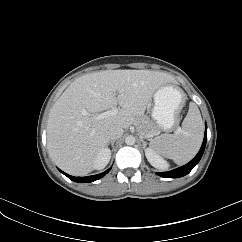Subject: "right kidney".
Segmentation results:
<instances>
[{
    "label": "right kidney",
    "mask_w": 242,
    "mask_h": 242,
    "mask_svg": "<svg viewBox=\"0 0 242 242\" xmlns=\"http://www.w3.org/2000/svg\"><path fill=\"white\" fill-rule=\"evenodd\" d=\"M110 158H111V151L108 148L101 149L95 157V161H94L95 169L104 168L108 164Z\"/></svg>",
    "instance_id": "1"
}]
</instances>
